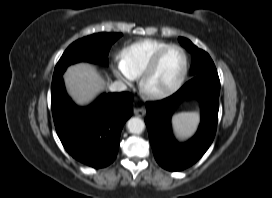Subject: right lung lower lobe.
Returning a JSON list of instances; mask_svg holds the SVG:
<instances>
[{"label": "right lung lower lobe", "mask_w": 272, "mask_h": 198, "mask_svg": "<svg viewBox=\"0 0 272 198\" xmlns=\"http://www.w3.org/2000/svg\"><path fill=\"white\" fill-rule=\"evenodd\" d=\"M133 99L128 92L103 94L90 106L81 108L68 97L62 76L53 78L52 114L67 152L94 168L111 164L117 155L122 127L132 115Z\"/></svg>", "instance_id": "obj_1"}]
</instances>
